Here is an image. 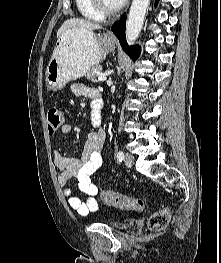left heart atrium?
Returning <instances> with one entry per match:
<instances>
[{"mask_svg": "<svg viewBox=\"0 0 221 263\" xmlns=\"http://www.w3.org/2000/svg\"><path fill=\"white\" fill-rule=\"evenodd\" d=\"M119 4L123 3L125 0H117Z\"/></svg>", "mask_w": 221, "mask_h": 263, "instance_id": "obj_1", "label": "left heart atrium"}]
</instances>
